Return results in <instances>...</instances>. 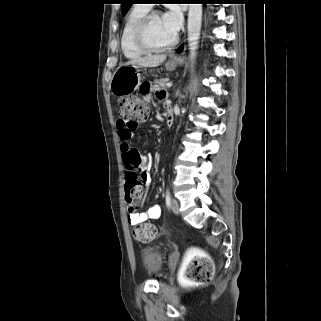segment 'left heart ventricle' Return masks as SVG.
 <instances>
[{"instance_id":"1","label":"left heart ventricle","mask_w":321,"mask_h":321,"mask_svg":"<svg viewBox=\"0 0 321 321\" xmlns=\"http://www.w3.org/2000/svg\"><path fill=\"white\" fill-rule=\"evenodd\" d=\"M146 36L151 45L163 46L168 44L175 34L165 25L162 17L159 15L150 19Z\"/></svg>"}]
</instances>
